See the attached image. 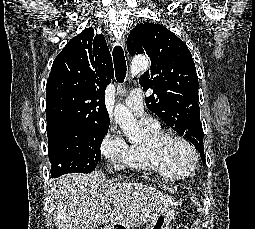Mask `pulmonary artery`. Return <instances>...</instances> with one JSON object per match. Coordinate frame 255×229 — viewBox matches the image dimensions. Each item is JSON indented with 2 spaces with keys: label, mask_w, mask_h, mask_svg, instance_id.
I'll return each instance as SVG.
<instances>
[{
  "label": "pulmonary artery",
  "mask_w": 255,
  "mask_h": 229,
  "mask_svg": "<svg viewBox=\"0 0 255 229\" xmlns=\"http://www.w3.org/2000/svg\"><path fill=\"white\" fill-rule=\"evenodd\" d=\"M125 105L138 117H142V122L148 127L158 128L159 124L150 117H145L143 107V92L140 88L132 89L127 98Z\"/></svg>",
  "instance_id": "1"
}]
</instances>
